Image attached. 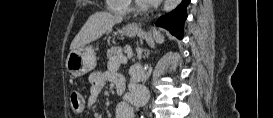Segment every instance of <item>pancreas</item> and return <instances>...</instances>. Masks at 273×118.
Masks as SVG:
<instances>
[{"label":"pancreas","mask_w":273,"mask_h":118,"mask_svg":"<svg viewBox=\"0 0 273 118\" xmlns=\"http://www.w3.org/2000/svg\"><path fill=\"white\" fill-rule=\"evenodd\" d=\"M122 52L123 49L121 47L114 46L107 50V57L109 59L116 58L119 60L120 56H122Z\"/></svg>","instance_id":"cf45deb5"}]
</instances>
